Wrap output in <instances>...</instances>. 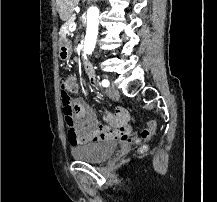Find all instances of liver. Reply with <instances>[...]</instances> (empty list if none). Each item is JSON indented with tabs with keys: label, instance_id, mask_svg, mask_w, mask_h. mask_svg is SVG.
Segmentation results:
<instances>
[{
	"label": "liver",
	"instance_id": "1",
	"mask_svg": "<svg viewBox=\"0 0 217 202\" xmlns=\"http://www.w3.org/2000/svg\"><path fill=\"white\" fill-rule=\"evenodd\" d=\"M77 4H79V0H56L58 14L62 22L71 18Z\"/></svg>",
	"mask_w": 217,
	"mask_h": 202
}]
</instances>
